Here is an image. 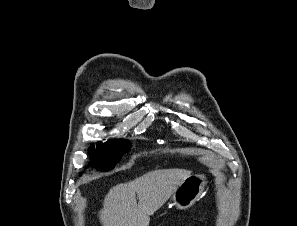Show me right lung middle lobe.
<instances>
[{"label": "right lung middle lobe", "instance_id": "1", "mask_svg": "<svg viewBox=\"0 0 297 226\" xmlns=\"http://www.w3.org/2000/svg\"><path fill=\"white\" fill-rule=\"evenodd\" d=\"M97 150L89 148V154L95 155L92 166L97 170L107 171L116 165L124 153L130 149V142L124 139L108 141L106 143L98 142Z\"/></svg>", "mask_w": 297, "mask_h": 226}]
</instances>
